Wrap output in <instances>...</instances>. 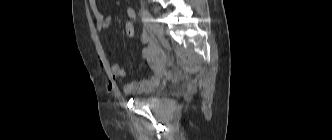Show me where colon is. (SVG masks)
I'll list each match as a JSON object with an SVG mask.
<instances>
[{
	"mask_svg": "<svg viewBox=\"0 0 332 140\" xmlns=\"http://www.w3.org/2000/svg\"><path fill=\"white\" fill-rule=\"evenodd\" d=\"M125 34L132 37L135 34V27L131 21H127L124 25Z\"/></svg>",
	"mask_w": 332,
	"mask_h": 140,
	"instance_id": "colon-1",
	"label": "colon"
}]
</instances>
